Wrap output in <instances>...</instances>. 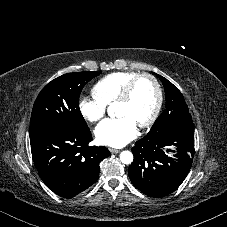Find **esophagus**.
I'll return each instance as SVG.
<instances>
[{"label": "esophagus", "instance_id": "esophagus-1", "mask_svg": "<svg viewBox=\"0 0 227 227\" xmlns=\"http://www.w3.org/2000/svg\"><path fill=\"white\" fill-rule=\"evenodd\" d=\"M109 150H110V152H111L112 154H117V153L120 152V150L114 149V148H109Z\"/></svg>", "mask_w": 227, "mask_h": 227}]
</instances>
